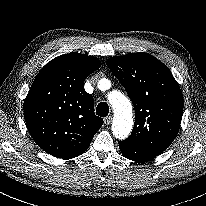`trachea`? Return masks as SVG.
<instances>
[{
    "label": "trachea",
    "instance_id": "trachea-1",
    "mask_svg": "<svg viewBox=\"0 0 206 206\" xmlns=\"http://www.w3.org/2000/svg\"><path fill=\"white\" fill-rule=\"evenodd\" d=\"M109 113V106L106 102H100L96 108V114L101 117H106Z\"/></svg>",
    "mask_w": 206,
    "mask_h": 206
}]
</instances>
